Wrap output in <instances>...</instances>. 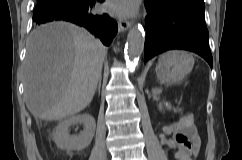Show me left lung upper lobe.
Instances as JSON below:
<instances>
[{
	"label": "left lung upper lobe",
	"instance_id": "obj_1",
	"mask_svg": "<svg viewBox=\"0 0 242 160\" xmlns=\"http://www.w3.org/2000/svg\"><path fill=\"white\" fill-rule=\"evenodd\" d=\"M161 1L170 7H192L198 10H205L204 0H156Z\"/></svg>",
	"mask_w": 242,
	"mask_h": 160
}]
</instances>
